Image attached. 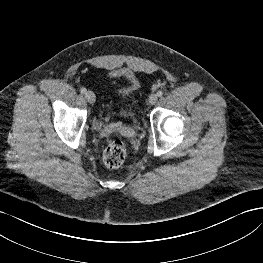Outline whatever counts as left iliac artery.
Masks as SVG:
<instances>
[{"label":"left iliac artery","mask_w":263,"mask_h":263,"mask_svg":"<svg viewBox=\"0 0 263 263\" xmlns=\"http://www.w3.org/2000/svg\"><path fill=\"white\" fill-rule=\"evenodd\" d=\"M157 95H158L159 97H161V96L163 95V92H162V91H158V92H157Z\"/></svg>","instance_id":"44dca946"}]
</instances>
